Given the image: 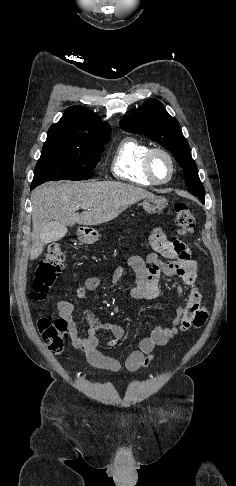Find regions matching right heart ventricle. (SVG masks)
Segmentation results:
<instances>
[{"instance_id":"obj_1","label":"right heart ventricle","mask_w":236,"mask_h":486,"mask_svg":"<svg viewBox=\"0 0 236 486\" xmlns=\"http://www.w3.org/2000/svg\"><path fill=\"white\" fill-rule=\"evenodd\" d=\"M149 149L150 146L147 143L137 138L123 139L113 155L112 171L114 175L135 185H152L143 172L144 156Z\"/></svg>"}]
</instances>
